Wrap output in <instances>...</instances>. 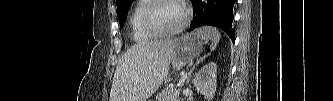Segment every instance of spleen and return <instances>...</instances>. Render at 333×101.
I'll list each match as a JSON object with an SVG mask.
<instances>
[{"instance_id": "3e777b00", "label": "spleen", "mask_w": 333, "mask_h": 101, "mask_svg": "<svg viewBox=\"0 0 333 101\" xmlns=\"http://www.w3.org/2000/svg\"><path fill=\"white\" fill-rule=\"evenodd\" d=\"M195 33L200 35L202 39L211 41V51L216 49L221 38L220 32L214 27H204L202 29H198Z\"/></svg>"}]
</instances>
